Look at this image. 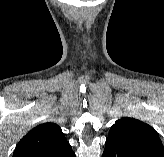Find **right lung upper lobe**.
I'll list each match as a JSON object with an SVG mask.
<instances>
[{
  "instance_id": "1",
  "label": "right lung upper lobe",
  "mask_w": 164,
  "mask_h": 157,
  "mask_svg": "<svg viewBox=\"0 0 164 157\" xmlns=\"http://www.w3.org/2000/svg\"><path fill=\"white\" fill-rule=\"evenodd\" d=\"M64 142V133L58 125L40 124L19 141L12 157H42Z\"/></svg>"
}]
</instances>
